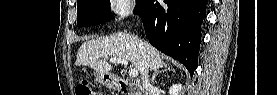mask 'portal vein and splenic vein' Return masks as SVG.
<instances>
[{
	"label": "portal vein and splenic vein",
	"mask_w": 277,
	"mask_h": 95,
	"mask_svg": "<svg viewBox=\"0 0 277 95\" xmlns=\"http://www.w3.org/2000/svg\"><path fill=\"white\" fill-rule=\"evenodd\" d=\"M111 63H118V64H124V65H128V61L126 59L123 58H111L110 59ZM129 76L130 77H137L138 76V70L137 69H130L129 70Z\"/></svg>",
	"instance_id": "portal-vein-and-splenic-vein-1"
}]
</instances>
